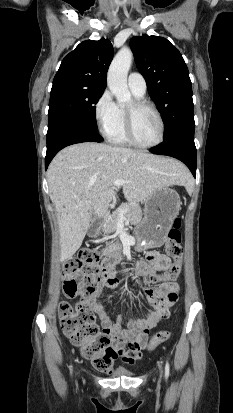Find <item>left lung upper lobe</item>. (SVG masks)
Here are the masks:
<instances>
[{"mask_svg": "<svg viewBox=\"0 0 233 413\" xmlns=\"http://www.w3.org/2000/svg\"><path fill=\"white\" fill-rule=\"evenodd\" d=\"M130 44L137 68L162 114L165 141L180 131L194 132L192 87L181 53L158 36L133 37Z\"/></svg>", "mask_w": 233, "mask_h": 413, "instance_id": "5c2ea615", "label": "left lung upper lobe"}]
</instances>
